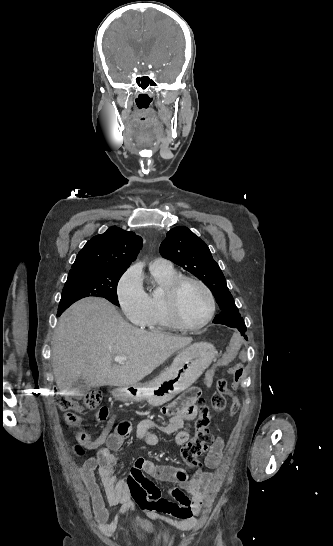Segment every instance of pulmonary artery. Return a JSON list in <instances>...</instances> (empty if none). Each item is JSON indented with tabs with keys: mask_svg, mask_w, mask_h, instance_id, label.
<instances>
[{
	"mask_svg": "<svg viewBox=\"0 0 333 546\" xmlns=\"http://www.w3.org/2000/svg\"><path fill=\"white\" fill-rule=\"evenodd\" d=\"M152 270H171L173 269L172 263L165 258H156L150 264Z\"/></svg>",
	"mask_w": 333,
	"mask_h": 546,
	"instance_id": "1",
	"label": "pulmonary artery"
}]
</instances>
